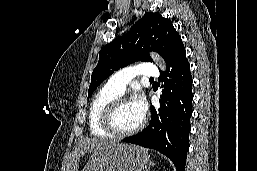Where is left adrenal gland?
<instances>
[{
  "label": "left adrenal gland",
  "instance_id": "obj_1",
  "mask_svg": "<svg viewBox=\"0 0 257 171\" xmlns=\"http://www.w3.org/2000/svg\"><path fill=\"white\" fill-rule=\"evenodd\" d=\"M154 164L153 163H151L150 165H149V167L145 170V171H149L150 170V168L153 166Z\"/></svg>",
  "mask_w": 257,
  "mask_h": 171
}]
</instances>
